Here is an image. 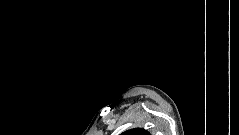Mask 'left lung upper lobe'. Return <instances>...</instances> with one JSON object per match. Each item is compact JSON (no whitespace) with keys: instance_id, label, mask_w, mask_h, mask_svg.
I'll return each instance as SVG.
<instances>
[{"instance_id":"1","label":"left lung upper lobe","mask_w":239,"mask_h":135,"mask_svg":"<svg viewBox=\"0 0 239 135\" xmlns=\"http://www.w3.org/2000/svg\"><path fill=\"white\" fill-rule=\"evenodd\" d=\"M121 135H150V133L147 130L141 128H134L123 132Z\"/></svg>"}]
</instances>
